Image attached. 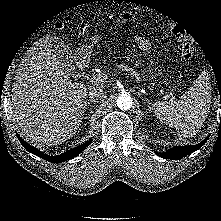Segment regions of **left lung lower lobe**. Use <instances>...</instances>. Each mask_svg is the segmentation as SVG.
Instances as JSON below:
<instances>
[{"mask_svg":"<svg viewBox=\"0 0 221 221\" xmlns=\"http://www.w3.org/2000/svg\"><path fill=\"white\" fill-rule=\"evenodd\" d=\"M208 137L209 136H207L205 140H203L201 143L197 145L173 147V148L168 149L166 152L155 151V153L158 156L165 158V159H170V160L180 159L200 149L205 144Z\"/></svg>","mask_w":221,"mask_h":221,"instance_id":"left-lung-lower-lobe-1","label":"left lung lower lobe"}]
</instances>
